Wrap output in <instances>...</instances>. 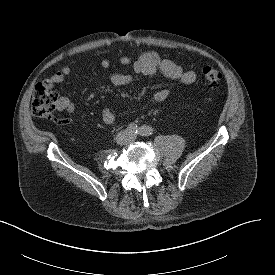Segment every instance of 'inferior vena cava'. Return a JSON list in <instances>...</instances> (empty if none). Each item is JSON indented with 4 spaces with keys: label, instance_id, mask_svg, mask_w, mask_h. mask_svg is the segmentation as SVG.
<instances>
[{
    "label": "inferior vena cava",
    "instance_id": "obj_1",
    "mask_svg": "<svg viewBox=\"0 0 275 275\" xmlns=\"http://www.w3.org/2000/svg\"><path fill=\"white\" fill-rule=\"evenodd\" d=\"M116 141L119 144H122V143H125V142L129 141L127 133L126 132L118 133V135L116 137Z\"/></svg>",
    "mask_w": 275,
    "mask_h": 275
}]
</instances>
